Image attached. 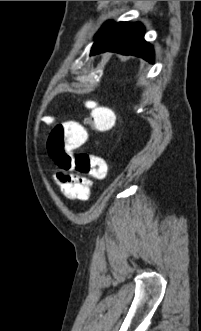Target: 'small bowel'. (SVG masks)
<instances>
[{"instance_id":"1","label":"small bowel","mask_w":201,"mask_h":331,"mask_svg":"<svg viewBox=\"0 0 201 331\" xmlns=\"http://www.w3.org/2000/svg\"><path fill=\"white\" fill-rule=\"evenodd\" d=\"M55 122L53 116H44L42 123L52 125ZM55 180L62 194L69 200H87L91 191V180L82 175L61 170L57 173Z\"/></svg>"}]
</instances>
